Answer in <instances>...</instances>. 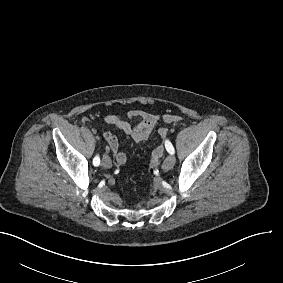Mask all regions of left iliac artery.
<instances>
[{"label":"left iliac artery","instance_id":"obj_1","mask_svg":"<svg viewBox=\"0 0 283 283\" xmlns=\"http://www.w3.org/2000/svg\"><path fill=\"white\" fill-rule=\"evenodd\" d=\"M165 147H166V150L170 153V154H174V147L173 145L168 141L166 140L165 142Z\"/></svg>","mask_w":283,"mask_h":283}]
</instances>
